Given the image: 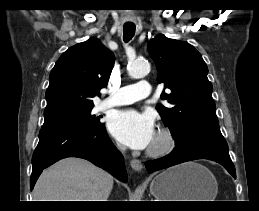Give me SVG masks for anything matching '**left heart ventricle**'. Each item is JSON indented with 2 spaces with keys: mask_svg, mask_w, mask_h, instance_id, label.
Returning a JSON list of instances; mask_svg holds the SVG:
<instances>
[{
  "mask_svg": "<svg viewBox=\"0 0 259 211\" xmlns=\"http://www.w3.org/2000/svg\"><path fill=\"white\" fill-rule=\"evenodd\" d=\"M156 140H157V138L155 137V139H154V141H153V143H152V144H154V143L156 142Z\"/></svg>",
  "mask_w": 259,
  "mask_h": 211,
  "instance_id": "1",
  "label": "left heart ventricle"
}]
</instances>
